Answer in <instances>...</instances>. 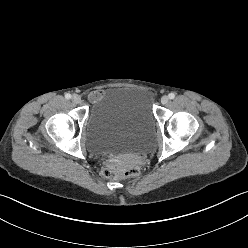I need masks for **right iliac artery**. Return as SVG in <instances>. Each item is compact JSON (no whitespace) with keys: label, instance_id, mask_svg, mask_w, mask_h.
Instances as JSON below:
<instances>
[{"label":"right iliac artery","instance_id":"82829eb1","mask_svg":"<svg viewBox=\"0 0 248 248\" xmlns=\"http://www.w3.org/2000/svg\"><path fill=\"white\" fill-rule=\"evenodd\" d=\"M65 98H66V99H70V98H71V94H70V93H66V94H65Z\"/></svg>","mask_w":248,"mask_h":248}]
</instances>
